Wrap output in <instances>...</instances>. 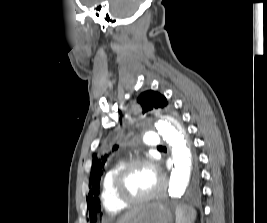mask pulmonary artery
<instances>
[{
  "mask_svg": "<svg viewBox=\"0 0 267 223\" xmlns=\"http://www.w3.org/2000/svg\"><path fill=\"white\" fill-rule=\"evenodd\" d=\"M144 143L147 146L156 147L160 145L161 142H160L159 137L156 134L150 133L144 136Z\"/></svg>",
  "mask_w": 267,
  "mask_h": 223,
  "instance_id": "1",
  "label": "pulmonary artery"
}]
</instances>
